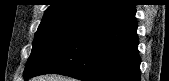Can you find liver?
<instances>
[{
	"instance_id": "1",
	"label": "liver",
	"mask_w": 169,
	"mask_h": 81,
	"mask_svg": "<svg viewBox=\"0 0 169 81\" xmlns=\"http://www.w3.org/2000/svg\"><path fill=\"white\" fill-rule=\"evenodd\" d=\"M36 81H66V78L58 76H41L38 77Z\"/></svg>"
}]
</instances>
